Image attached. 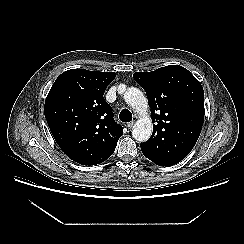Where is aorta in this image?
I'll return each mask as SVG.
<instances>
[{
  "label": "aorta",
  "mask_w": 244,
  "mask_h": 244,
  "mask_svg": "<svg viewBox=\"0 0 244 244\" xmlns=\"http://www.w3.org/2000/svg\"><path fill=\"white\" fill-rule=\"evenodd\" d=\"M125 102L132 107L140 118L132 128L133 138L139 142L147 141L153 130V124L148 114V102L142 91L136 87H129L124 92Z\"/></svg>",
  "instance_id": "obj_1"
}]
</instances>
